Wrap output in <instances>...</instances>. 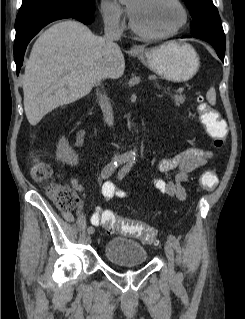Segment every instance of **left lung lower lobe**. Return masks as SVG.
Returning <instances> with one entry per match:
<instances>
[{
    "label": "left lung lower lobe",
    "instance_id": "0a47b994",
    "mask_svg": "<svg viewBox=\"0 0 245 319\" xmlns=\"http://www.w3.org/2000/svg\"><path fill=\"white\" fill-rule=\"evenodd\" d=\"M190 37V36H188ZM206 41V40H205ZM208 42L210 45L213 46V48L215 49V51L217 52V55L219 56V58L223 61L224 60V55H225V48H222L212 42L206 41Z\"/></svg>",
    "mask_w": 245,
    "mask_h": 319
}]
</instances>
